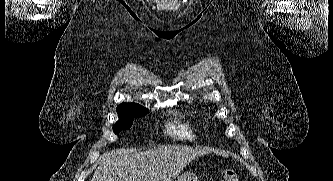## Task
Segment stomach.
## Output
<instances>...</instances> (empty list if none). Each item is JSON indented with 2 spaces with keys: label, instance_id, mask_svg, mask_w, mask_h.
I'll list each match as a JSON object with an SVG mask.
<instances>
[{
  "label": "stomach",
  "instance_id": "0dacf381",
  "mask_svg": "<svg viewBox=\"0 0 333 181\" xmlns=\"http://www.w3.org/2000/svg\"><path fill=\"white\" fill-rule=\"evenodd\" d=\"M176 181H198V177L193 172H184L177 177Z\"/></svg>",
  "mask_w": 333,
  "mask_h": 181
}]
</instances>
